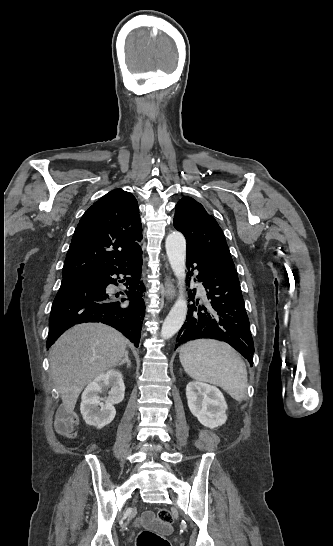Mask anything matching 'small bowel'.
<instances>
[{"instance_id":"small-bowel-1","label":"small bowel","mask_w":333,"mask_h":546,"mask_svg":"<svg viewBox=\"0 0 333 546\" xmlns=\"http://www.w3.org/2000/svg\"><path fill=\"white\" fill-rule=\"evenodd\" d=\"M73 415H69L67 417L60 418L56 420L55 422V429L56 431L63 436L74 438L76 436V432L72 429V422H73ZM154 522V517L151 512H146L141 519L137 521V523H143L146 525H150Z\"/></svg>"}]
</instances>
